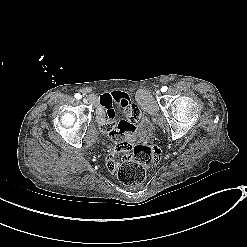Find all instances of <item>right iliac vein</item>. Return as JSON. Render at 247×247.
Wrapping results in <instances>:
<instances>
[{
	"mask_svg": "<svg viewBox=\"0 0 247 247\" xmlns=\"http://www.w3.org/2000/svg\"><path fill=\"white\" fill-rule=\"evenodd\" d=\"M84 103H88V100L86 98H83Z\"/></svg>",
	"mask_w": 247,
	"mask_h": 247,
	"instance_id": "1",
	"label": "right iliac vein"
}]
</instances>
